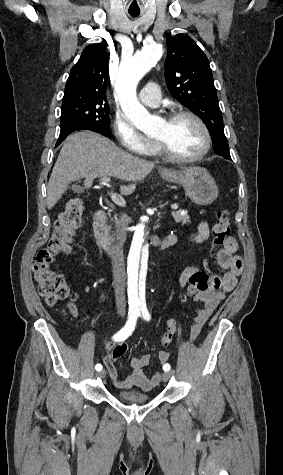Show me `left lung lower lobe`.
<instances>
[{
    "instance_id": "0a47b994",
    "label": "left lung lower lobe",
    "mask_w": 283,
    "mask_h": 475,
    "mask_svg": "<svg viewBox=\"0 0 283 475\" xmlns=\"http://www.w3.org/2000/svg\"><path fill=\"white\" fill-rule=\"evenodd\" d=\"M212 143H213L215 154L231 160L230 153H229V146H228L225 136L223 135L212 136Z\"/></svg>"
}]
</instances>
